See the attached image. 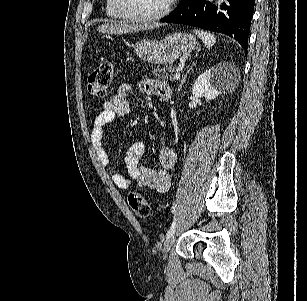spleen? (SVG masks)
Listing matches in <instances>:
<instances>
[{"label":"spleen","instance_id":"3e777b00","mask_svg":"<svg viewBox=\"0 0 307 301\" xmlns=\"http://www.w3.org/2000/svg\"><path fill=\"white\" fill-rule=\"evenodd\" d=\"M195 34L203 40L206 48H211L213 44L216 42V36L214 34H211V32H207V30H198V28H195L194 30Z\"/></svg>","mask_w":307,"mask_h":301}]
</instances>
